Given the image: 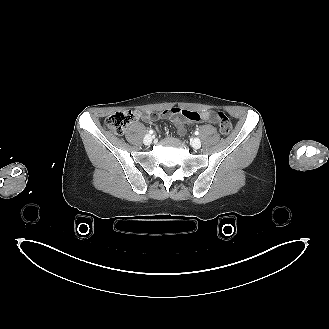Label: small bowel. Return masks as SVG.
<instances>
[{"instance_id":"c3829d8e","label":"small bowel","mask_w":329,"mask_h":329,"mask_svg":"<svg viewBox=\"0 0 329 329\" xmlns=\"http://www.w3.org/2000/svg\"><path fill=\"white\" fill-rule=\"evenodd\" d=\"M137 118H141L143 121L149 122L151 116L148 113L137 112ZM161 117L168 119L178 130L180 134H183L185 127L190 126L194 123H211L216 122L215 116L212 111H203L200 113L192 112L186 109H180L173 107L165 110L161 113Z\"/></svg>"}]
</instances>
